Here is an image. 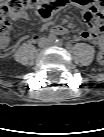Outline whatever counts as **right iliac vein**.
<instances>
[{"instance_id":"63e3f726","label":"right iliac vein","mask_w":104,"mask_h":137,"mask_svg":"<svg viewBox=\"0 0 104 137\" xmlns=\"http://www.w3.org/2000/svg\"><path fill=\"white\" fill-rule=\"evenodd\" d=\"M49 45V42L47 40H42L40 43H39V46L41 48H45Z\"/></svg>"}]
</instances>
